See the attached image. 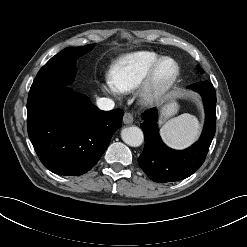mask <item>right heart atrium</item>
Segmentation results:
<instances>
[{
  "label": "right heart atrium",
  "mask_w": 247,
  "mask_h": 247,
  "mask_svg": "<svg viewBox=\"0 0 247 247\" xmlns=\"http://www.w3.org/2000/svg\"><path fill=\"white\" fill-rule=\"evenodd\" d=\"M102 89L113 94V95H117L118 94V90L114 87V85L112 84V82L107 81L102 85Z\"/></svg>",
  "instance_id": "1"
}]
</instances>
